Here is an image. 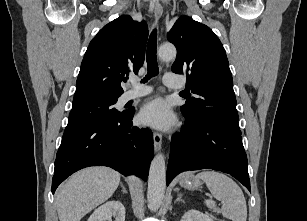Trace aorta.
<instances>
[{"instance_id":"aorta-1","label":"aorta","mask_w":307,"mask_h":221,"mask_svg":"<svg viewBox=\"0 0 307 221\" xmlns=\"http://www.w3.org/2000/svg\"><path fill=\"white\" fill-rule=\"evenodd\" d=\"M173 45L160 46L158 55L163 61H171L176 57ZM166 188V167L163 154H157L150 164L148 177L147 201L151 211H156L162 204Z\"/></svg>"}]
</instances>
